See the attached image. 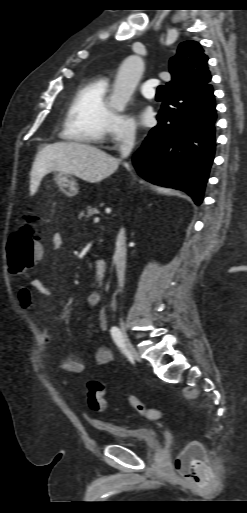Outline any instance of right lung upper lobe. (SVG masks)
<instances>
[{
  "mask_svg": "<svg viewBox=\"0 0 247 513\" xmlns=\"http://www.w3.org/2000/svg\"><path fill=\"white\" fill-rule=\"evenodd\" d=\"M207 61L208 57L198 42L181 43L169 62L172 81L167 83L166 92H199L209 86L211 75Z\"/></svg>",
  "mask_w": 247,
  "mask_h": 513,
  "instance_id": "1",
  "label": "right lung upper lobe"
}]
</instances>
